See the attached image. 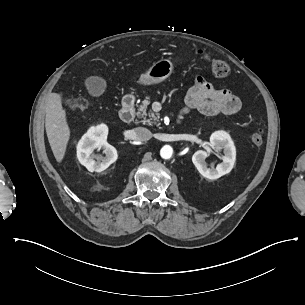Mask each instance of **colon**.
Listing matches in <instances>:
<instances>
[{
	"mask_svg": "<svg viewBox=\"0 0 305 305\" xmlns=\"http://www.w3.org/2000/svg\"><path fill=\"white\" fill-rule=\"evenodd\" d=\"M197 53L200 57L207 63L210 64L212 71L216 76L225 77L229 73V66L222 60L211 58L204 49L199 48ZM68 106L72 109L75 108H86L88 106V101L84 99H69L67 102ZM266 130L264 126L258 127L250 134L251 143L260 147L264 144Z\"/></svg>",
	"mask_w": 305,
	"mask_h": 305,
	"instance_id": "obj_1",
	"label": "colon"
}]
</instances>
